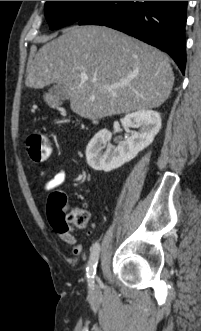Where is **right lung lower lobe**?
I'll list each match as a JSON object with an SVG mask.
<instances>
[{"label":"right lung lower lobe","instance_id":"98d812e1","mask_svg":"<svg viewBox=\"0 0 201 331\" xmlns=\"http://www.w3.org/2000/svg\"><path fill=\"white\" fill-rule=\"evenodd\" d=\"M188 1H104L79 25L111 27L167 52L184 74L185 24Z\"/></svg>","mask_w":201,"mask_h":331}]
</instances>
